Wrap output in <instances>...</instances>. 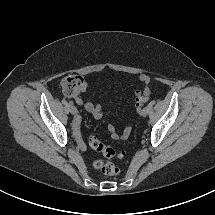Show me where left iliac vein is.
Instances as JSON below:
<instances>
[{
	"label": "left iliac vein",
	"instance_id": "left-iliac-vein-1",
	"mask_svg": "<svg viewBox=\"0 0 215 215\" xmlns=\"http://www.w3.org/2000/svg\"><path fill=\"white\" fill-rule=\"evenodd\" d=\"M147 114H148V109L147 108H144V109L141 110V113H140L141 116H146Z\"/></svg>",
	"mask_w": 215,
	"mask_h": 215
}]
</instances>
